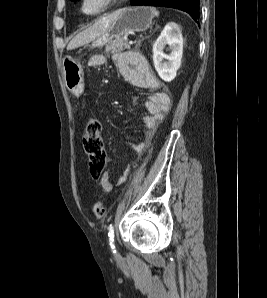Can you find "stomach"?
<instances>
[{
	"label": "stomach",
	"mask_w": 267,
	"mask_h": 298,
	"mask_svg": "<svg viewBox=\"0 0 267 298\" xmlns=\"http://www.w3.org/2000/svg\"><path fill=\"white\" fill-rule=\"evenodd\" d=\"M117 17L108 30L93 40L91 47H102L114 38L121 37L129 32L146 31L153 19V12L148 7H128L120 9ZM64 82L67 89L75 96L84 91L83 66L80 60L71 55L65 56L62 62Z\"/></svg>",
	"instance_id": "1"
}]
</instances>
